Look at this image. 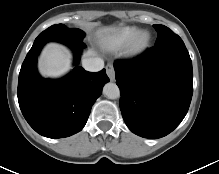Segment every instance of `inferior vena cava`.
<instances>
[{
  "label": "inferior vena cava",
  "mask_w": 219,
  "mask_h": 174,
  "mask_svg": "<svg viewBox=\"0 0 219 174\" xmlns=\"http://www.w3.org/2000/svg\"><path fill=\"white\" fill-rule=\"evenodd\" d=\"M82 65L87 71L98 72L103 69L104 61L98 57H89L82 60Z\"/></svg>",
  "instance_id": "obj_1"
}]
</instances>
